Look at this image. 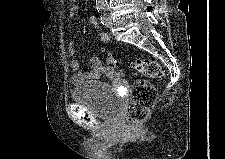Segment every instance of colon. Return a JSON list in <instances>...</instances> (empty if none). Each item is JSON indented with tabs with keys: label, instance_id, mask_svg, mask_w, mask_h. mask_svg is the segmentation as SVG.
<instances>
[{
	"label": "colon",
	"instance_id": "obj_1",
	"mask_svg": "<svg viewBox=\"0 0 225 159\" xmlns=\"http://www.w3.org/2000/svg\"><path fill=\"white\" fill-rule=\"evenodd\" d=\"M132 67L137 74L154 80L163 76L161 65L153 59L138 58L132 64ZM106 70L111 77L119 78L123 76V72L119 69L118 63L112 56L107 59ZM155 100L156 90L154 86L147 80H136L132 86V97L126 111L127 122L136 125L143 121L154 106Z\"/></svg>",
	"mask_w": 225,
	"mask_h": 159
}]
</instances>
